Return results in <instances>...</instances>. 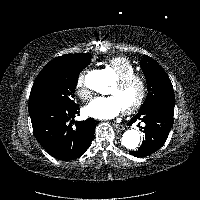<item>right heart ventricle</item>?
<instances>
[{
  "mask_svg": "<svg viewBox=\"0 0 200 200\" xmlns=\"http://www.w3.org/2000/svg\"><path fill=\"white\" fill-rule=\"evenodd\" d=\"M105 65L111 69L118 78L136 72V67L133 62L124 56H116L109 58Z\"/></svg>",
  "mask_w": 200,
  "mask_h": 200,
  "instance_id": "e07e8e85",
  "label": "right heart ventricle"
}]
</instances>
